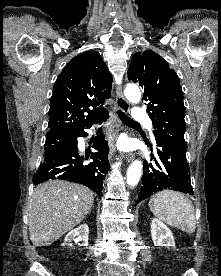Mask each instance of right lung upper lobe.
<instances>
[{
  "label": "right lung upper lobe",
  "mask_w": 221,
  "mask_h": 276,
  "mask_svg": "<svg viewBox=\"0 0 221 276\" xmlns=\"http://www.w3.org/2000/svg\"><path fill=\"white\" fill-rule=\"evenodd\" d=\"M111 85L112 76L98 52L74 57L55 81L46 136H74L94 123L106 112L100 104L110 97Z\"/></svg>",
  "instance_id": "1"
}]
</instances>
